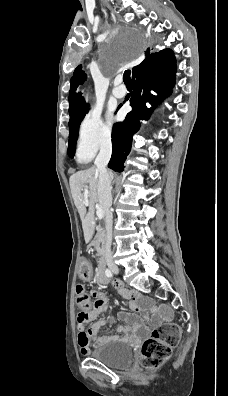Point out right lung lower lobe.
Segmentation results:
<instances>
[{"label":"right lung lower lobe","mask_w":228,"mask_h":396,"mask_svg":"<svg viewBox=\"0 0 228 396\" xmlns=\"http://www.w3.org/2000/svg\"><path fill=\"white\" fill-rule=\"evenodd\" d=\"M176 63L173 52L169 49L151 53L132 74L134 91L126 96L130 100L132 111L123 122L116 123L112 132V156L108 167L117 172L124 170V162L131 150L133 135L139 130V120H147L153 108H147L146 102L156 106L169 95L175 84ZM150 90L158 96L150 94ZM122 105H119L118 109Z\"/></svg>","instance_id":"obj_1"}]
</instances>
